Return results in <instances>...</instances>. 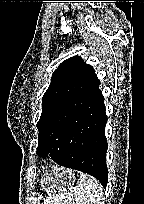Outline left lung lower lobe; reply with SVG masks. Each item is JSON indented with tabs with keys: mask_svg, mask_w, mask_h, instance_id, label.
<instances>
[{
	"mask_svg": "<svg viewBox=\"0 0 144 204\" xmlns=\"http://www.w3.org/2000/svg\"><path fill=\"white\" fill-rule=\"evenodd\" d=\"M96 78L86 91L85 101L69 123L68 132L46 155L59 165L88 173L105 187L108 183L106 166L107 141L104 97Z\"/></svg>",
	"mask_w": 144,
	"mask_h": 204,
	"instance_id": "1",
	"label": "left lung lower lobe"
}]
</instances>
